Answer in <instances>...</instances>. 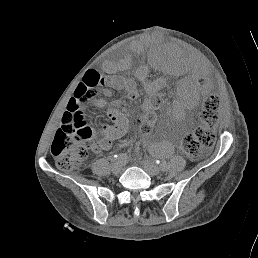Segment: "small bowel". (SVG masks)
Here are the masks:
<instances>
[{
    "label": "small bowel",
    "mask_w": 258,
    "mask_h": 258,
    "mask_svg": "<svg viewBox=\"0 0 258 258\" xmlns=\"http://www.w3.org/2000/svg\"><path fill=\"white\" fill-rule=\"evenodd\" d=\"M132 62H133V57L131 55H128L122 60L121 65L122 67H127V66H130ZM109 66L113 67V65L111 64ZM192 73L195 75L198 74L196 70H193ZM93 104L96 107L103 109L106 115L109 117V119H111L112 121L116 120L115 125L105 127L102 130V138L98 146L95 148L96 151L107 150L111 147L112 143L124 132V127L122 126V124L117 122V116L115 112L110 108H108L102 99H95L93 101ZM145 141L148 145H150L153 149L157 151H161L163 148H165L166 151L169 152L171 149V144L169 143L161 144L158 142H154L151 138H146Z\"/></svg>",
    "instance_id": "obj_1"
}]
</instances>
